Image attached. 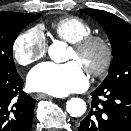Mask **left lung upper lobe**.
I'll list each match as a JSON object with an SVG mask.
<instances>
[{
  "label": "left lung upper lobe",
  "mask_w": 131,
  "mask_h": 131,
  "mask_svg": "<svg viewBox=\"0 0 131 131\" xmlns=\"http://www.w3.org/2000/svg\"><path fill=\"white\" fill-rule=\"evenodd\" d=\"M80 12L102 25L112 46L113 60L108 76L100 86L131 88V25L103 10L82 9Z\"/></svg>",
  "instance_id": "5c2ea615"
}]
</instances>
